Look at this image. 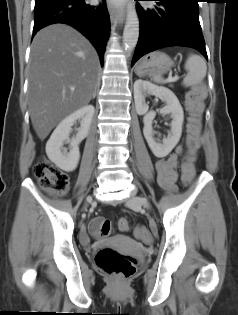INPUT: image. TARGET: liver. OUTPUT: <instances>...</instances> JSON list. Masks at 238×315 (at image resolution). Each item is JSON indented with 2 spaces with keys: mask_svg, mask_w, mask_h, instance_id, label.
Segmentation results:
<instances>
[{
  "mask_svg": "<svg viewBox=\"0 0 238 315\" xmlns=\"http://www.w3.org/2000/svg\"><path fill=\"white\" fill-rule=\"evenodd\" d=\"M98 71L97 52L74 28L53 24L36 34L31 45L28 97L31 122L40 140L63 118L90 102Z\"/></svg>",
  "mask_w": 238,
  "mask_h": 315,
  "instance_id": "obj_1",
  "label": "liver"
}]
</instances>
